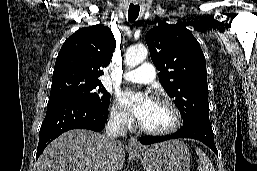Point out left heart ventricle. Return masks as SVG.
Wrapping results in <instances>:
<instances>
[{
    "label": "left heart ventricle",
    "mask_w": 257,
    "mask_h": 171,
    "mask_svg": "<svg viewBox=\"0 0 257 171\" xmlns=\"http://www.w3.org/2000/svg\"><path fill=\"white\" fill-rule=\"evenodd\" d=\"M174 121V115L165 104L154 102L146 116L140 121L141 124L151 129H164Z\"/></svg>",
    "instance_id": "b2bd125f"
}]
</instances>
